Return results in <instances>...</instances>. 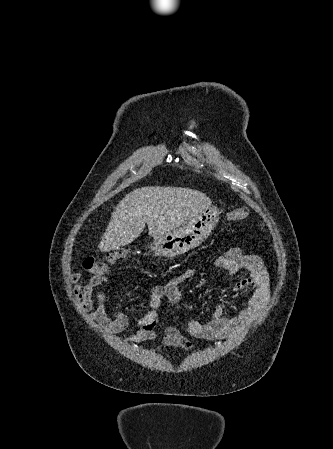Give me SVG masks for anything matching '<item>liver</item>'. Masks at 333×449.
<instances>
[{
  "instance_id": "1",
  "label": "liver",
  "mask_w": 333,
  "mask_h": 449,
  "mask_svg": "<svg viewBox=\"0 0 333 449\" xmlns=\"http://www.w3.org/2000/svg\"><path fill=\"white\" fill-rule=\"evenodd\" d=\"M211 203L205 194L189 188L135 189L116 206L98 248L108 252L131 243L143 232L145 224L151 237H161L186 224Z\"/></svg>"
}]
</instances>
